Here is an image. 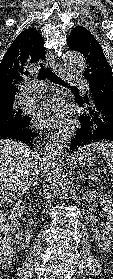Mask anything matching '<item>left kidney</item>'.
Instances as JSON below:
<instances>
[{
  "label": "left kidney",
  "instance_id": "left-kidney-1",
  "mask_svg": "<svg viewBox=\"0 0 113 279\" xmlns=\"http://www.w3.org/2000/svg\"><path fill=\"white\" fill-rule=\"evenodd\" d=\"M83 200L93 203L99 200L102 209L107 214V222L105 223V231L100 234L97 228H93L96 244L99 249L106 250L113 244V199L110 195L102 194L96 190H88L83 194Z\"/></svg>",
  "mask_w": 113,
  "mask_h": 279
}]
</instances>
